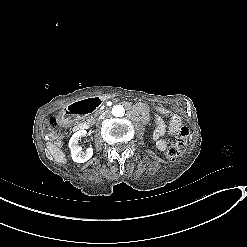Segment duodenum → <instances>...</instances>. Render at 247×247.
<instances>
[{
    "label": "duodenum",
    "instance_id": "obj_1",
    "mask_svg": "<svg viewBox=\"0 0 247 247\" xmlns=\"http://www.w3.org/2000/svg\"><path fill=\"white\" fill-rule=\"evenodd\" d=\"M102 104V99L100 97H91L79 100L72 103L67 107L64 115L67 119H77L78 117L91 113L98 109ZM87 122H80L76 125V130H85L88 128Z\"/></svg>",
    "mask_w": 247,
    "mask_h": 247
}]
</instances>
